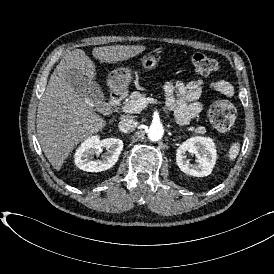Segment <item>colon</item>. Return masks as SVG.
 <instances>
[{
  "mask_svg": "<svg viewBox=\"0 0 274 274\" xmlns=\"http://www.w3.org/2000/svg\"><path fill=\"white\" fill-rule=\"evenodd\" d=\"M191 61L195 70L201 75H215L220 71L217 60L205 53H195ZM208 117L216 130L228 132L232 130L235 125L237 111L231 101L217 100L209 109Z\"/></svg>",
  "mask_w": 274,
  "mask_h": 274,
  "instance_id": "colon-1",
  "label": "colon"
}]
</instances>
